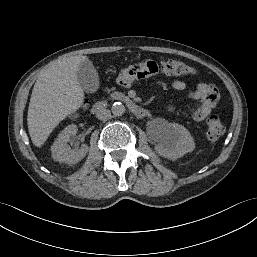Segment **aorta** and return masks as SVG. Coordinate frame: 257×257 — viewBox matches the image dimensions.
<instances>
[{
  "mask_svg": "<svg viewBox=\"0 0 257 257\" xmlns=\"http://www.w3.org/2000/svg\"><path fill=\"white\" fill-rule=\"evenodd\" d=\"M111 111L114 116H122L125 113L126 109L122 103L115 102L111 107Z\"/></svg>",
  "mask_w": 257,
  "mask_h": 257,
  "instance_id": "obj_1",
  "label": "aorta"
}]
</instances>
